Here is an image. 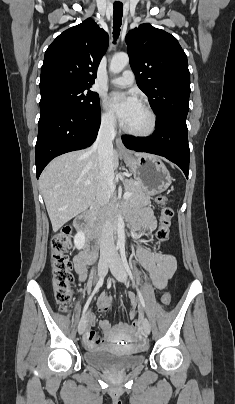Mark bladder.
<instances>
[{
    "label": "bladder",
    "instance_id": "31cf9c89",
    "mask_svg": "<svg viewBox=\"0 0 235 404\" xmlns=\"http://www.w3.org/2000/svg\"><path fill=\"white\" fill-rule=\"evenodd\" d=\"M131 350L120 353L116 347L104 346L86 351L84 359L90 365L110 371H128L143 363V355Z\"/></svg>",
    "mask_w": 235,
    "mask_h": 404
}]
</instances>
